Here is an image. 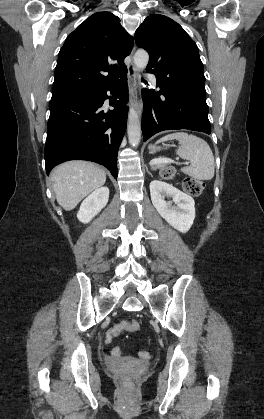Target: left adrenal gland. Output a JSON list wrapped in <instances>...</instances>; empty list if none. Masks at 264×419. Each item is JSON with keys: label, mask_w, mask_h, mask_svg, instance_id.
<instances>
[{"label": "left adrenal gland", "mask_w": 264, "mask_h": 419, "mask_svg": "<svg viewBox=\"0 0 264 419\" xmlns=\"http://www.w3.org/2000/svg\"><path fill=\"white\" fill-rule=\"evenodd\" d=\"M147 172H148V174H149V175H151V176H152V174L148 171V169H147Z\"/></svg>", "instance_id": "a2214340"}]
</instances>
